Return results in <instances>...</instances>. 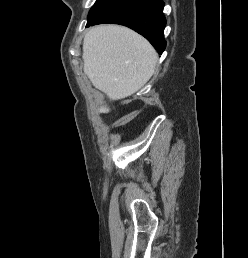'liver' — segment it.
Wrapping results in <instances>:
<instances>
[{
    "label": "liver",
    "mask_w": 248,
    "mask_h": 258,
    "mask_svg": "<svg viewBox=\"0 0 248 258\" xmlns=\"http://www.w3.org/2000/svg\"><path fill=\"white\" fill-rule=\"evenodd\" d=\"M84 73L110 100L131 96L152 77L158 55L141 35L123 26L91 28L83 41ZM106 106L99 112L108 113Z\"/></svg>",
    "instance_id": "6515ba94"
}]
</instances>
